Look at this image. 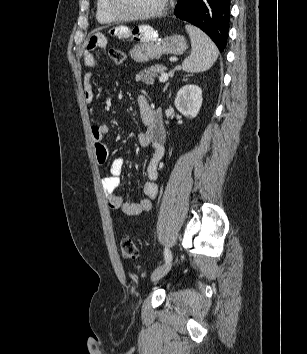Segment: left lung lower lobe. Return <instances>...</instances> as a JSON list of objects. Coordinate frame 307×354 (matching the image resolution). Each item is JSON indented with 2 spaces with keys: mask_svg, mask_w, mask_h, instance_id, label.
I'll list each match as a JSON object with an SVG mask.
<instances>
[{
  "mask_svg": "<svg viewBox=\"0 0 307 354\" xmlns=\"http://www.w3.org/2000/svg\"><path fill=\"white\" fill-rule=\"evenodd\" d=\"M174 13L203 30L223 51L229 31L230 0H178Z\"/></svg>",
  "mask_w": 307,
  "mask_h": 354,
  "instance_id": "left-lung-lower-lobe-1",
  "label": "left lung lower lobe"
}]
</instances>
